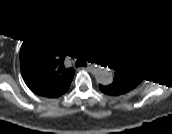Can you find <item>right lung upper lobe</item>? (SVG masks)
<instances>
[{
  "mask_svg": "<svg viewBox=\"0 0 172 134\" xmlns=\"http://www.w3.org/2000/svg\"><path fill=\"white\" fill-rule=\"evenodd\" d=\"M65 34L53 25L30 32L20 50V68L26 85L41 96L55 98L70 87L75 74L65 66Z\"/></svg>",
  "mask_w": 172,
  "mask_h": 134,
  "instance_id": "1",
  "label": "right lung upper lobe"
}]
</instances>
